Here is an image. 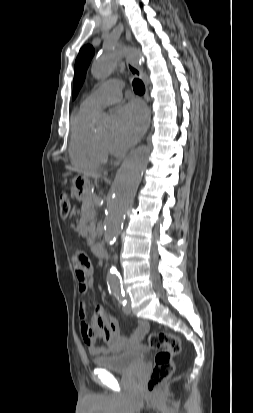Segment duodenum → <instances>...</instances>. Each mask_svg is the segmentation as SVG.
Instances as JSON below:
<instances>
[{
	"instance_id": "410a0bca",
	"label": "duodenum",
	"mask_w": 253,
	"mask_h": 413,
	"mask_svg": "<svg viewBox=\"0 0 253 413\" xmlns=\"http://www.w3.org/2000/svg\"><path fill=\"white\" fill-rule=\"evenodd\" d=\"M91 251L97 258H103L105 256V250L101 244L92 245Z\"/></svg>"
}]
</instances>
